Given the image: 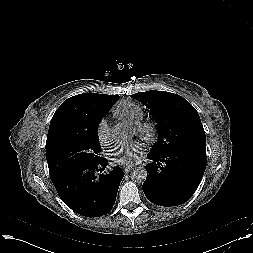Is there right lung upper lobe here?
I'll return each instance as SVG.
<instances>
[{
  "label": "right lung upper lobe",
  "instance_id": "right-lung-upper-lobe-1",
  "mask_svg": "<svg viewBox=\"0 0 253 253\" xmlns=\"http://www.w3.org/2000/svg\"><path fill=\"white\" fill-rule=\"evenodd\" d=\"M118 95L83 93L65 100L53 115L47 140L63 128H88L106 114Z\"/></svg>",
  "mask_w": 253,
  "mask_h": 253
}]
</instances>
